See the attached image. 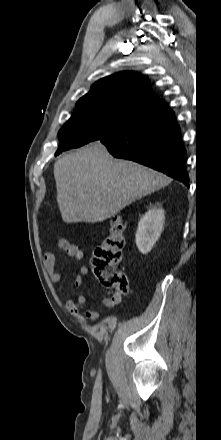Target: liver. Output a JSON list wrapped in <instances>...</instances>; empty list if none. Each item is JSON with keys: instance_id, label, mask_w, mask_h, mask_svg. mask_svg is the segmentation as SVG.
<instances>
[{"instance_id": "1", "label": "liver", "mask_w": 221, "mask_h": 440, "mask_svg": "<svg viewBox=\"0 0 221 440\" xmlns=\"http://www.w3.org/2000/svg\"><path fill=\"white\" fill-rule=\"evenodd\" d=\"M57 202L66 223H97L171 182L132 161L115 160L99 141L54 164Z\"/></svg>"}]
</instances>
